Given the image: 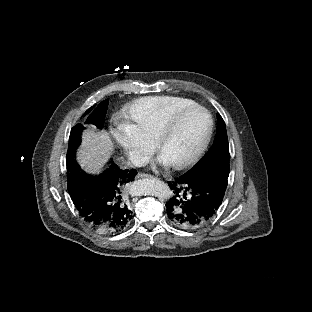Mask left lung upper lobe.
<instances>
[{
	"mask_svg": "<svg viewBox=\"0 0 312 312\" xmlns=\"http://www.w3.org/2000/svg\"><path fill=\"white\" fill-rule=\"evenodd\" d=\"M229 145L225 122L219 115L217 124V133L213 146L209 151L194 165L188 174L196 173L207 167L227 166L229 167Z\"/></svg>",
	"mask_w": 312,
	"mask_h": 312,
	"instance_id": "obj_1",
	"label": "left lung upper lobe"
}]
</instances>
